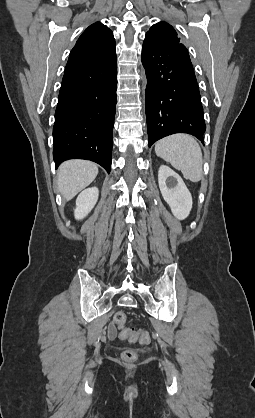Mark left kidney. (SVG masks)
Segmentation results:
<instances>
[{
    "mask_svg": "<svg viewBox=\"0 0 255 418\" xmlns=\"http://www.w3.org/2000/svg\"><path fill=\"white\" fill-rule=\"evenodd\" d=\"M161 194L173 215L184 220L192 209V196L182 178L171 168L161 165L158 172Z\"/></svg>",
    "mask_w": 255,
    "mask_h": 418,
    "instance_id": "5707ae66",
    "label": "left kidney"
}]
</instances>
